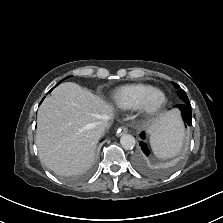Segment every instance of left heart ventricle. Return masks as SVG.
Segmentation results:
<instances>
[{
    "label": "left heart ventricle",
    "mask_w": 223,
    "mask_h": 223,
    "mask_svg": "<svg viewBox=\"0 0 223 223\" xmlns=\"http://www.w3.org/2000/svg\"><path fill=\"white\" fill-rule=\"evenodd\" d=\"M161 100L162 95L160 93H154L149 100V104L150 106H156L161 102Z\"/></svg>",
    "instance_id": "b2bd125f"
}]
</instances>
